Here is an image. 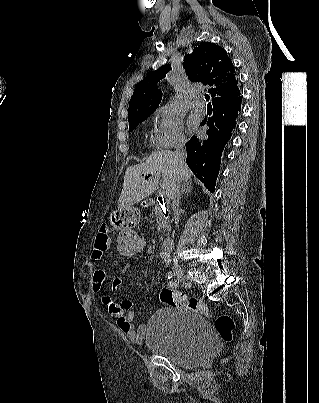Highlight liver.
Listing matches in <instances>:
<instances>
[{
    "label": "liver",
    "mask_w": 319,
    "mask_h": 403,
    "mask_svg": "<svg viewBox=\"0 0 319 403\" xmlns=\"http://www.w3.org/2000/svg\"><path fill=\"white\" fill-rule=\"evenodd\" d=\"M146 175L150 177L145 180ZM191 175L192 172L185 162L182 164L176 162L174 152L155 151L145 162L127 168L118 200V209L130 208L151 195L158 187L160 176H162L161 188L169 197L173 183L176 180L189 182Z\"/></svg>",
    "instance_id": "1"
}]
</instances>
